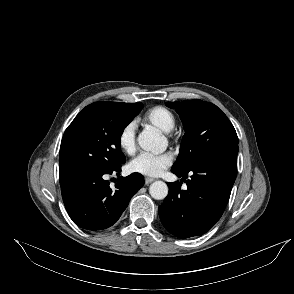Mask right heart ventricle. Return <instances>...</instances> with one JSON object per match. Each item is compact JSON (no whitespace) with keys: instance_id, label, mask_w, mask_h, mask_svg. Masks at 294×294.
Returning a JSON list of instances; mask_svg holds the SVG:
<instances>
[{"instance_id":"1","label":"right heart ventricle","mask_w":294,"mask_h":294,"mask_svg":"<svg viewBox=\"0 0 294 294\" xmlns=\"http://www.w3.org/2000/svg\"><path fill=\"white\" fill-rule=\"evenodd\" d=\"M145 125L152 126L161 132L172 131L177 123L175 114L164 106L150 108L143 116Z\"/></svg>"}]
</instances>
